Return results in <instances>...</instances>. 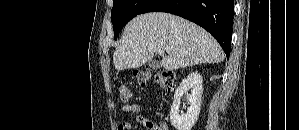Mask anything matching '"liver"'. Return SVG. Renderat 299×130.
<instances>
[{
    "mask_svg": "<svg viewBox=\"0 0 299 130\" xmlns=\"http://www.w3.org/2000/svg\"><path fill=\"white\" fill-rule=\"evenodd\" d=\"M162 49L161 66L176 70L201 63H219L224 53L218 42L200 26L169 13L138 15L125 27L113 55L116 70L139 68Z\"/></svg>",
    "mask_w": 299,
    "mask_h": 130,
    "instance_id": "1",
    "label": "liver"
}]
</instances>
